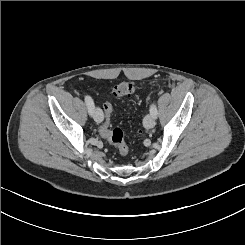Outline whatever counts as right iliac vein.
I'll return each mask as SVG.
<instances>
[{
	"label": "right iliac vein",
	"mask_w": 245,
	"mask_h": 245,
	"mask_svg": "<svg viewBox=\"0 0 245 245\" xmlns=\"http://www.w3.org/2000/svg\"><path fill=\"white\" fill-rule=\"evenodd\" d=\"M93 117H94V120L97 123L102 122V120H103V111L99 107L94 108L93 109Z\"/></svg>",
	"instance_id": "right-iliac-vein-1"
}]
</instances>
